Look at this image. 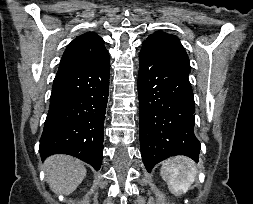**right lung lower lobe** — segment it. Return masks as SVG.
<instances>
[{"mask_svg": "<svg viewBox=\"0 0 253 204\" xmlns=\"http://www.w3.org/2000/svg\"><path fill=\"white\" fill-rule=\"evenodd\" d=\"M109 54L57 74L40 139L42 159L52 154L75 156L98 170L109 93Z\"/></svg>", "mask_w": 253, "mask_h": 204, "instance_id": "right-lung-lower-lobe-1", "label": "right lung lower lobe"}]
</instances>
